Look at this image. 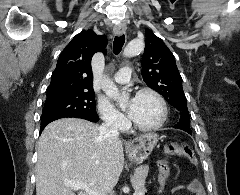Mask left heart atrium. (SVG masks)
<instances>
[{
	"instance_id": "obj_1",
	"label": "left heart atrium",
	"mask_w": 240,
	"mask_h": 195,
	"mask_svg": "<svg viewBox=\"0 0 240 195\" xmlns=\"http://www.w3.org/2000/svg\"><path fill=\"white\" fill-rule=\"evenodd\" d=\"M134 100H135V98H132V99L130 100V104H131V105L133 104Z\"/></svg>"
}]
</instances>
